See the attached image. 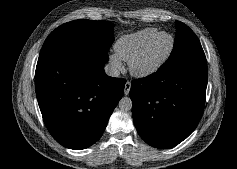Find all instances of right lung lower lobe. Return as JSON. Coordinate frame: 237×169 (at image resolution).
I'll return each instance as SVG.
<instances>
[{"instance_id": "right-lung-lower-lobe-1", "label": "right lung lower lobe", "mask_w": 237, "mask_h": 169, "mask_svg": "<svg viewBox=\"0 0 237 169\" xmlns=\"http://www.w3.org/2000/svg\"><path fill=\"white\" fill-rule=\"evenodd\" d=\"M106 51L72 46L42 49L35 88L46 127L63 146L85 149L103 134L125 80L104 72Z\"/></svg>"}]
</instances>
